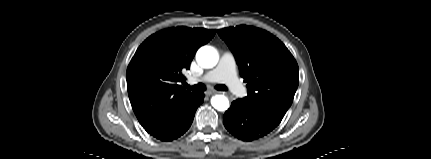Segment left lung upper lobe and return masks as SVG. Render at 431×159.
Here are the masks:
<instances>
[{"label":"left lung upper lobe","mask_w":431,"mask_h":159,"mask_svg":"<svg viewBox=\"0 0 431 159\" xmlns=\"http://www.w3.org/2000/svg\"><path fill=\"white\" fill-rule=\"evenodd\" d=\"M235 56L250 107L284 117L299 84V68L286 46L269 32L246 25L217 31Z\"/></svg>","instance_id":"1"}]
</instances>
